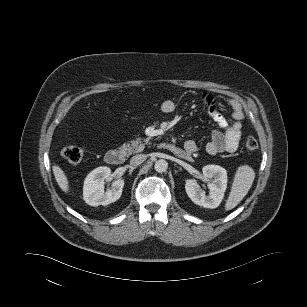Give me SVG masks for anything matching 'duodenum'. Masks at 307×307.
Segmentation results:
<instances>
[{
  "instance_id": "obj_1",
  "label": "duodenum",
  "mask_w": 307,
  "mask_h": 307,
  "mask_svg": "<svg viewBox=\"0 0 307 307\" xmlns=\"http://www.w3.org/2000/svg\"><path fill=\"white\" fill-rule=\"evenodd\" d=\"M159 148L175 153V147L171 144L161 143ZM105 161L110 165L117 166L123 163L124 155L117 149H110L105 154Z\"/></svg>"
}]
</instances>
